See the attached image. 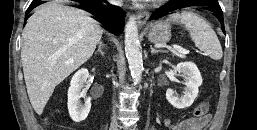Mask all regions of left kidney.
Instances as JSON below:
<instances>
[{
	"mask_svg": "<svg viewBox=\"0 0 257 130\" xmlns=\"http://www.w3.org/2000/svg\"><path fill=\"white\" fill-rule=\"evenodd\" d=\"M176 71L184 78L185 91L180 98L174 95L172 89L166 91V99L177 109H184L191 106L198 95L199 86L202 84V77L196 64L193 62H181L177 64Z\"/></svg>",
	"mask_w": 257,
	"mask_h": 130,
	"instance_id": "obj_1",
	"label": "left kidney"
}]
</instances>
